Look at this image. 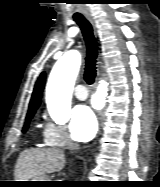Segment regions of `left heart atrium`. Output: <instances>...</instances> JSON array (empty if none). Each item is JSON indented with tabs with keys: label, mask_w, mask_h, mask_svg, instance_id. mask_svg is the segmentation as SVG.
Segmentation results:
<instances>
[{
	"label": "left heart atrium",
	"mask_w": 160,
	"mask_h": 187,
	"mask_svg": "<svg viewBox=\"0 0 160 187\" xmlns=\"http://www.w3.org/2000/svg\"><path fill=\"white\" fill-rule=\"evenodd\" d=\"M70 130L77 141L86 142L93 138L97 130V121L88 106L79 105L73 110Z\"/></svg>",
	"instance_id": "left-heart-atrium-1"
}]
</instances>
